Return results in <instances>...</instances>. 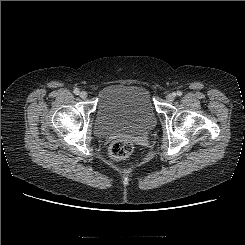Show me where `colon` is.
I'll return each instance as SVG.
<instances>
[{
	"label": "colon",
	"instance_id": "5ec220e1",
	"mask_svg": "<svg viewBox=\"0 0 245 245\" xmlns=\"http://www.w3.org/2000/svg\"><path fill=\"white\" fill-rule=\"evenodd\" d=\"M133 151V144L127 139L114 141L109 147V155L113 159H124Z\"/></svg>",
	"mask_w": 245,
	"mask_h": 245
}]
</instances>
